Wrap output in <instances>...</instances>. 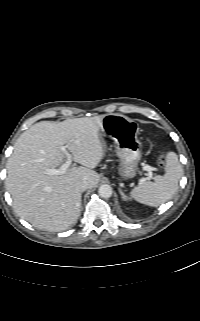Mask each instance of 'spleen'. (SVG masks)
Wrapping results in <instances>:
<instances>
[{
  "label": "spleen",
  "instance_id": "3e777b00",
  "mask_svg": "<svg viewBox=\"0 0 200 321\" xmlns=\"http://www.w3.org/2000/svg\"><path fill=\"white\" fill-rule=\"evenodd\" d=\"M165 160V175L158 176L155 182H139L130 193L134 200L147 206L158 207L172 198L178 189L183 170L175 152H167Z\"/></svg>",
  "mask_w": 200,
  "mask_h": 321
}]
</instances>
